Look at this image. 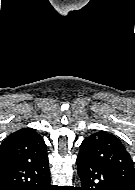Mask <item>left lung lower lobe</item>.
Wrapping results in <instances>:
<instances>
[{
  "mask_svg": "<svg viewBox=\"0 0 135 190\" xmlns=\"http://www.w3.org/2000/svg\"><path fill=\"white\" fill-rule=\"evenodd\" d=\"M80 190H131L110 169L95 162L77 158Z\"/></svg>",
  "mask_w": 135,
  "mask_h": 190,
  "instance_id": "1",
  "label": "left lung lower lobe"
}]
</instances>
